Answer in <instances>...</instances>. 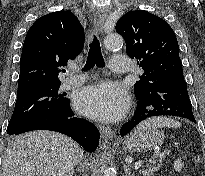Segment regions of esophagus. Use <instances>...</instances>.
<instances>
[{
    "instance_id": "esophagus-1",
    "label": "esophagus",
    "mask_w": 205,
    "mask_h": 176,
    "mask_svg": "<svg viewBox=\"0 0 205 176\" xmlns=\"http://www.w3.org/2000/svg\"><path fill=\"white\" fill-rule=\"evenodd\" d=\"M107 18V13L105 9H98L95 14L94 26L98 33H102L104 22ZM101 138L103 139L104 144L109 142L114 137V131L108 126H99Z\"/></svg>"
}]
</instances>
